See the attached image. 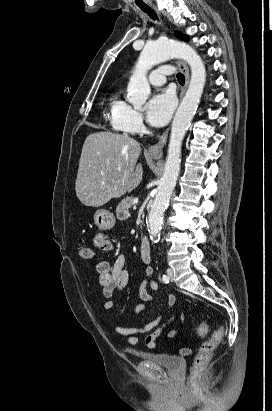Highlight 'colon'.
I'll list each match as a JSON object with an SVG mask.
<instances>
[{"mask_svg":"<svg viewBox=\"0 0 272 411\" xmlns=\"http://www.w3.org/2000/svg\"><path fill=\"white\" fill-rule=\"evenodd\" d=\"M79 254L84 259H91L93 257V251L89 246H81L79 248ZM208 323L206 321L202 322L198 328L197 333L199 336L203 337L208 332ZM225 335V329L223 326H219L212 334L209 340L205 341L200 349L198 354L195 357L193 366L189 376V384L192 387L201 386V376L204 370L209 365L211 355L214 350L217 348L219 343L223 340Z\"/></svg>","mask_w":272,"mask_h":411,"instance_id":"colon-1","label":"colon"}]
</instances>
